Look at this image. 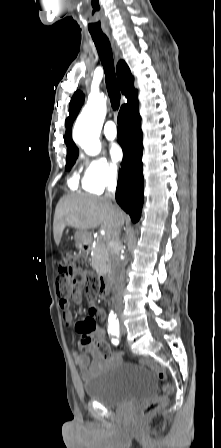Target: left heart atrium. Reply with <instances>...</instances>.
I'll return each mask as SVG.
<instances>
[{"instance_id": "39dd6f15", "label": "left heart atrium", "mask_w": 221, "mask_h": 448, "mask_svg": "<svg viewBox=\"0 0 221 448\" xmlns=\"http://www.w3.org/2000/svg\"><path fill=\"white\" fill-rule=\"evenodd\" d=\"M109 153H110L111 159H112L114 162H119V161L122 159V157H123V150H122V148H121L119 145H117V144H114V145H112V146L110 147V149H109Z\"/></svg>"}]
</instances>
